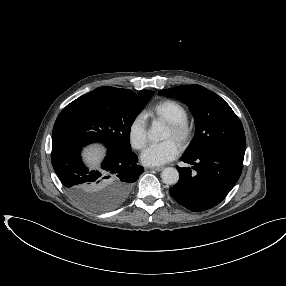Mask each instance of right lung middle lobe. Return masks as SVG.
<instances>
[{"instance_id":"dd1d6c3e","label":"right lung middle lobe","mask_w":286,"mask_h":286,"mask_svg":"<svg viewBox=\"0 0 286 286\" xmlns=\"http://www.w3.org/2000/svg\"><path fill=\"white\" fill-rule=\"evenodd\" d=\"M153 95L150 90L135 94L129 89L100 87L67 105L56 123L71 129L87 141L128 150L131 149V125ZM95 200L92 198L82 204L95 211L111 208Z\"/></svg>"}]
</instances>
